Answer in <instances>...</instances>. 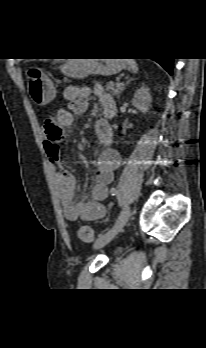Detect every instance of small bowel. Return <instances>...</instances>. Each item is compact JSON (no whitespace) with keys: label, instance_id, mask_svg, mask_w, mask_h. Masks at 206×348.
Returning a JSON list of instances; mask_svg holds the SVG:
<instances>
[{"label":"small bowel","instance_id":"obj_1","mask_svg":"<svg viewBox=\"0 0 206 348\" xmlns=\"http://www.w3.org/2000/svg\"><path fill=\"white\" fill-rule=\"evenodd\" d=\"M91 94L88 87L67 86L63 91V96L68 102L67 106L59 108L55 116L49 118L44 126L43 149L52 171L54 185L62 203L64 215L71 222H76L79 219L97 220L104 216L103 201L107 197L108 186L113 180L114 172L121 163L117 151L104 150L97 162L95 182L90 191V198L75 202L77 180L73 174L60 167V148L66 131L73 125L74 115L86 111ZM93 94L104 109L114 106L111 96L100 87L95 88ZM95 130L99 135L102 131H105L109 136L112 135L110 124L105 119H99L96 122Z\"/></svg>","mask_w":206,"mask_h":348}]
</instances>
